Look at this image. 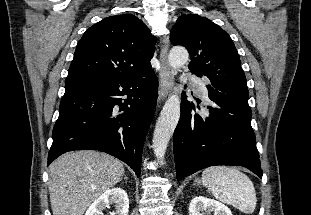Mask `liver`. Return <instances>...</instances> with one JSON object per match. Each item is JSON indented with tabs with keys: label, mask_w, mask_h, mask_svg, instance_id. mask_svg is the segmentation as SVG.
<instances>
[{
	"label": "liver",
	"mask_w": 311,
	"mask_h": 215,
	"mask_svg": "<svg viewBox=\"0 0 311 215\" xmlns=\"http://www.w3.org/2000/svg\"><path fill=\"white\" fill-rule=\"evenodd\" d=\"M124 176L122 162L92 150L68 152L49 166L53 215H83L92 202Z\"/></svg>",
	"instance_id": "liver-1"
}]
</instances>
